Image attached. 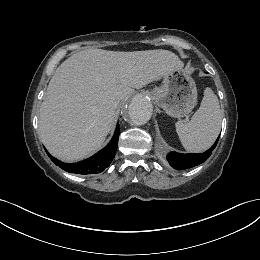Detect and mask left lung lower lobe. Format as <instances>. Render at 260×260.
Segmentation results:
<instances>
[{"label":"left lung lower lobe","mask_w":260,"mask_h":260,"mask_svg":"<svg viewBox=\"0 0 260 260\" xmlns=\"http://www.w3.org/2000/svg\"><path fill=\"white\" fill-rule=\"evenodd\" d=\"M219 140L218 139L215 141L213 146L209 148L207 151L204 153H195V154H181L177 152H170L167 155V161L169 164L177 170H185L188 168H192L194 166H197L203 162H205L210 155L212 154V151L215 149V146Z\"/></svg>","instance_id":"0a47b994"}]
</instances>
